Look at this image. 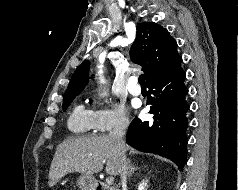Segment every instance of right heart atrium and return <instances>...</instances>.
<instances>
[{"label":"right heart atrium","mask_w":238,"mask_h":190,"mask_svg":"<svg viewBox=\"0 0 238 190\" xmlns=\"http://www.w3.org/2000/svg\"><path fill=\"white\" fill-rule=\"evenodd\" d=\"M92 128L97 133L125 129L129 118L123 108L116 105H101L90 111Z\"/></svg>","instance_id":"1"}]
</instances>
